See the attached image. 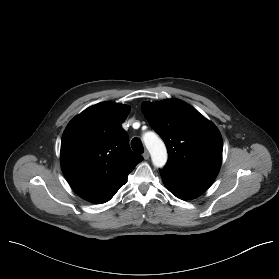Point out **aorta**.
Returning <instances> with one entry per match:
<instances>
[{
  "mask_svg": "<svg viewBox=\"0 0 279 279\" xmlns=\"http://www.w3.org/2000/svg\"><path fill=\"white\" fill-rule=\"evenodd\" d=\"M143 141L148 149L152 163L156 168H162L167 162V150L164 142L154 132H147Z\"/></svg>",
  "mask_w": 279,
  "mask_h": 279,
  "instance_id": "aorta-1",
  "label": "aorta"
}]
</instances>
